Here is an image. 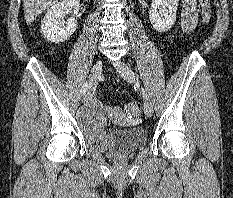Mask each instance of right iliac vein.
Listing matches in <instances>:
<instances>
[{
  "label": "right iliac vein",
  "instance_id": "right-iliac-vein-1",
  "mask_svg": "<svg viewBox=\"0 0 233 198\" xmlns=\"http://www.w3.org/2000/svg\"><path fill=\"white\" fill-rule=\"evenodd\" d=\"M102 72V61L98 60L93 68L91 69L90 76H89V84L88 88L86 90V93L84 94L83 102L84 104L88 105L90 101L92 100L95 87L98 83V79Z\"/></svg>",
  "mask_w": 233,
  "mask_h": 198
}]
</instances>
